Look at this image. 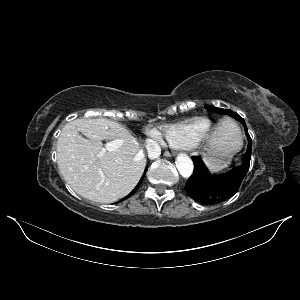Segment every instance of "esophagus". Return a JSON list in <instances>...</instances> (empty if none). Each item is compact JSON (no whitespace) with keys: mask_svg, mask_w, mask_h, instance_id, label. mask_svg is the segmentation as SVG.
Here are the masks:
<instances>
[{"mask_svg":"<svg viewBox=\"0 0 300 300\" xmlns=\"http://www.w3.org/2000/svg\"><path fill=\"white\" fill-rule=\"evenodd\" d=\"M174 155H175L174 152H168V151L165 152V156L167 157L174 156Z\"/></svg>","mask_w":300,"mask_h":300,"instance_id":"34e87169","label":"esophagus"}]
</instances>
